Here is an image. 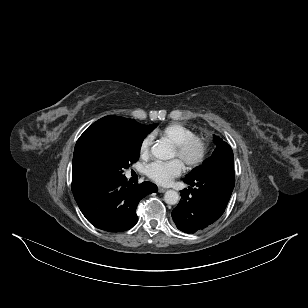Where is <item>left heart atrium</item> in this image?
Returning <instances> with one entry per match:
<instances>
[{
	"mask_svg": "<svg viewBox=\"0 0 308 308\" xmlns=\"http://www.w3.org/2000/svg\"><path fill=\"white\" fill-rule=\"evenodd\" d=\"M183 171L184 165L178 159L170 162H153L145 169L147 177L160 185H168L174 178L180 176Z\"/></svg>",
	"mask_w": 308,
	"mask_h": 308,
	"instance_id": "obj_1",
	"label": "left heart atrium"
}]
</instances>
